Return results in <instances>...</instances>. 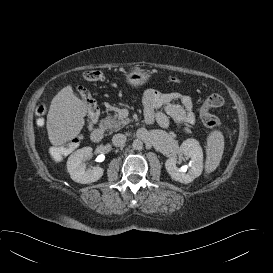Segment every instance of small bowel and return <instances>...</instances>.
I'll list each match as a JSON object with an SVG mask.
<instances>
[{
    "label": "small bowel",
    "instance_id": "small-bowel-1",
    "mask_svg": "<svg viewBox=\"0 0 273 273\" xmlns=\"http://www.w3.org/2000/svg\"><path fill=\"white\" fill-rule=\"evenodd\" d=\"M180 101V104L175 103ZM145 120L148 123L156 121L162 128L169 126L171 118L180 128L196 121L193 112V101L189 96L179 93H161L156 90H148L144 95ZM164 108L165 113L158 109Z\"/></svg>",
    "mask_w": 273,
    "mask_h": 273
}]
</instances>
